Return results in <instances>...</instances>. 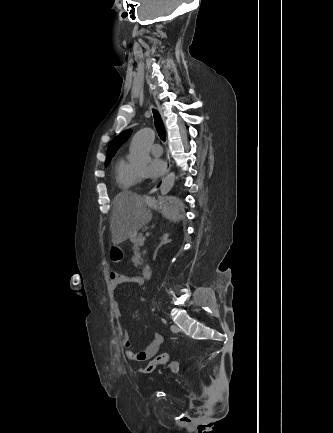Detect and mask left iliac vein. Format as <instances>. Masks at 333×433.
I'll use <instances>...</instances> for the list:
<instances>
[{"label":"left iliac vein","mask_w":333,"mask_h":433,"mask_svg":"<svg viewBox=\"0 0 333 433\" xmlns=\"http://www.w3.org/2000/svg\"><path fill=\"white\" fill-rule=\"evenodd\" d=\"M170 329L174 333H178L180 331V329L178 328V326L175 325V324L171 325Z\"/></svg>","instance_id":"left-iliac-vein-1"}]
</instances>
